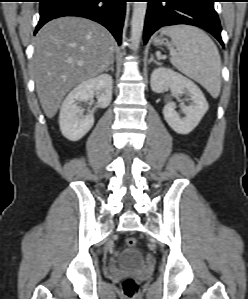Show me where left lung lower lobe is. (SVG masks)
I'll use <instances>...</instances> for the list:
<instances>
[{
    "instance_id": "0a47b994",
    "label": "left lung lower lobe",
    "mask_w": 248,
    "mask_h": 299,
    "mask_svg": "<svg viewBox=\"0 0 248 299\" xmlns=\"http://www.w3.org/2000/svg\"><path fill=\"white\" fill-rule=\"evenodd\" d=\"M144 44L159 28L176 24L200 27L211 33L224 47L221 25L214 9L216 0H146Z\"/></svg>"
}]
</instances>
